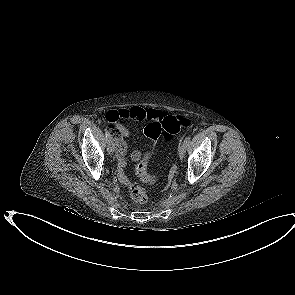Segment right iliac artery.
<instances>
[{
    "label": "right iliac artery",
    "mask_w": 295,
    "mask_h": 295,
    "mask_svg": "<svg viewBox=\"0 0 295 295\" xmlns=\"http://www.w3.org/2000/svg\"><path fill=\"white\" fill-rule=\"evenodd\" d=\"M105 135L107 139L111 138V134L109 133V131L107 129H105Z\"/></svg>",
    "instance_id": "right-iliac-artery-1"
}]
</instances>
